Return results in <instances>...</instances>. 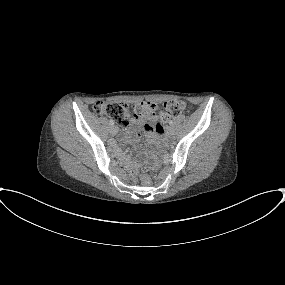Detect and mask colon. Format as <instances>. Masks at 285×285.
<instances>
[{
    "mask_svg": "<svg viewBox=\"0 0 285 285\" xmlns=\"http://www.w3.org/2000/svg\"><path fill=\"white\" fill-rule=\"evenodd\" d=\"M188 107L184 101H167L158 109L152 102H141L133 106V116L146 118L153 121H167L169 118L178 116ZM93 110L98 114L107 115L116 124L125 127L129 125L130 113L128 106L122 103L97 101ZM141 179L147 182L149 178L142 175Z\"/></svg>",
    "mask_w": 285,
    "mask_h": 285,
    "instance_id": "colon-1",
    "label": "colon"
}]
</instances>
